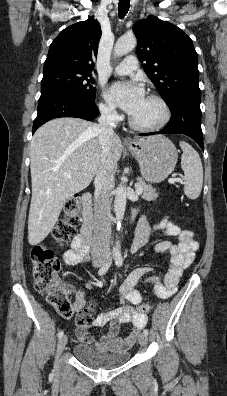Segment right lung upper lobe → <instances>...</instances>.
Returning a JSON list of instances; mask_svg holds the SVG:
<instances>
[{
    "label": "right lung upper lobe",
    "instance_id": "1",
    "mask_svg": "<svg viewBox=\"0 0 227 396\" xmlns=\"http://www.w3.org/2000/svg\"><path fill=\"white\" fill-rule=\"evenodd\" d=\"M100 37V24L93 17L65 28L50 45L44 71L62 68L91 73Z\"/></svg>",
    "mask_w": 227,
    "mask_h": 396
}]
</instances>
